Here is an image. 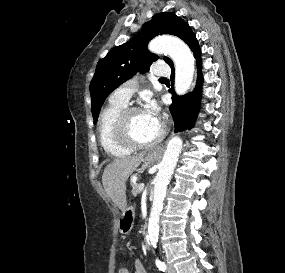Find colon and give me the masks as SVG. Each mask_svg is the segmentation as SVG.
Masks as SVG:
<instances>
[{"label":"colon","mask_w":285,"mask_h":273,"mask_svg":"<svg viewBox=\"0 0 285 273\" xmlns=\"http://www.w3.org/2000/svg\"><path fill=\"white\" fill-rule=\"evenodd\" d=\"M124 269H125V268L120 269V270H119V273H124V271H125Z\"/></svg>","instance_id":"5ec220e1"}]
</instances>
